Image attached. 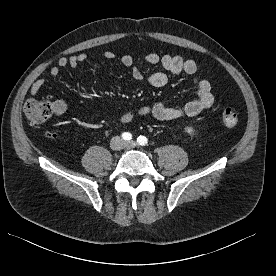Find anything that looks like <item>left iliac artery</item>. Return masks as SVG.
<instances>
[{
	"mask_svg": "<svg viewBox=\"0 0 276 276\" xmlns=\"http://www.w3.org/2000/svg\"><path fill=\"white\" fill-rule=\"evenodd\" d=\"M137 142H138L139 145L145 146L147 144V142H148V139L145 136L140 135L137 138Z\"/></svg>",
	"mask_w": 276,
	"mask_h": 276,
	"instance_id": "left-iliac-artery-1",
	"label": "left iliac artery"
}]
</instances>
